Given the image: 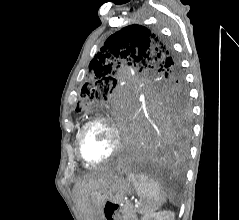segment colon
Instances as JSON below:
<instances>
[{"label":"colon","instance_id":"obj_1","mask_svg":"<svg viewBox=\"0 0 239 220\" xmlns=\"http://www.w3.org/2000/svg\"><path fill=\"white\" fill-rule=\"evenodd\" d=\"M119 204L113 202H107L104 206V217L106 220H118L117 211Z\"/></svg>","mask_w":239,"mask_h":220}]
</instances>
